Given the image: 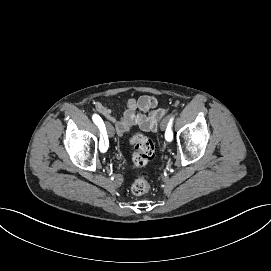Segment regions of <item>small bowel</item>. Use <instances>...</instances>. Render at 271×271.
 <instances>
[{
    "mask_svg": "<svg viewBox=\"0 0 271 271\" xmlns=\"http://www.w3.org/2000/svg\"><path fill=\"white\" fill-rule=\"evenodd\" d=\"M124 107L122 115L117 118L108 106L99 102L95 104L96 112L102 115L113 127L114 132L120 135L132 126L143 131L154 132L158 122L166 113L164 109L158 107L157 99L148 95L130 98L125 101Z\"/></svg>",
    "mask_w": 271,
    "mask_h": 271,
    "instance_id": "1",
    "label": "small bowel"
}]
</instances>
